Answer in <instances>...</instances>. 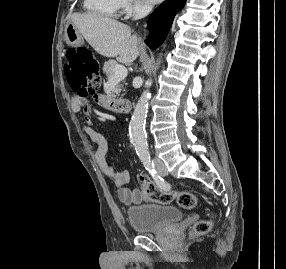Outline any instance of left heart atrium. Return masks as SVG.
Here are the masks:
<instances>
[{"instance_id": "left-heart-atrium-1", "label": "left heart atrium", "mask_w": 286, "mask_h": 269, "mask_svg": "<svg viewBox=\"0 0 286 269\" xmlns=\"http://www.w3.org/2000/svg\"><path fill=\"white\" fill-rule=\"evenodd\" d=\"M148 4H157L161 2L162 0H145Z\"/></svg>"}]
</instances>
